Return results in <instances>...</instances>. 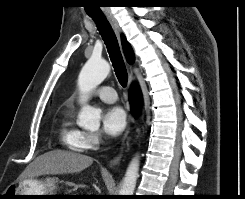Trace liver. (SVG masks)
I'll return each mask as SVG.
<instances>
[{
    "label": "liver",
    "instance_id": "1",
    "mask_svg": "<svg viewBox=\"0 0 245 199\" xmlns=\"http://www.w3.org/2000/svg\"><path fill=\"white\" fill-rule=\"evenodd\" d=\"M93 163V158L83 154L53 150L38 156L30 164L25 178L32 180L33 177L45 174H73L79 173Z\"/></svg>",
    "mask_w": 245,
    "mask_h": 199
}]
</instances>
